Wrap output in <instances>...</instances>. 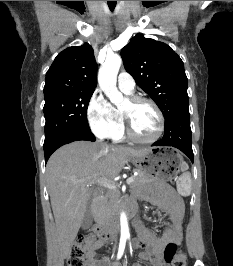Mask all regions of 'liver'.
I'll return each instance as SVG.
<instances>
[{"instance_id": "obj_1", "label": "liver", "mask_w": 233, "mask_h": 266, "mask_svg": "<svg viewBox=\"0 0 233 266\" xmlns=\"http://www.w3.org/2000/svg\"><path fill=\"white\" fill-rule=\"evenodd\" d=\"M148 150L76 141L61 147L50 157L47 181L61 264L71 251L91 195L89 182L76 181L91 177L111 180L130 157L143 156Z\"/></svg>"}]
</instances>
